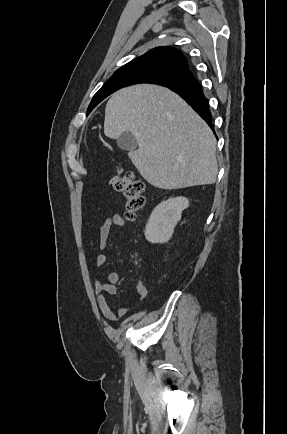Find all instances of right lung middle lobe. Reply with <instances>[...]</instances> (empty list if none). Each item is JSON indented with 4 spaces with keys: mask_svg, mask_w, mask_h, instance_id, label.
Masks as SVG:
<instances>
[{
    "mask_svg": "<svg viewBox=\"0 0 287 434\" xmlns=\"http://www.w3.org/2000/svg\"><path fill=\"white\" fill-rule=\"evenodd\" d=\"M179 76L165 70L154 68H141L126 72L114 73L113 76L101 87L94 95L89 107L87 115L96 107L103 99L115 91L138 83H153L157 84L162 81H175Z\"/></svg>",
    "mask_w": 287,
    "mask_h": 434,
    "instance_id": "right-lung-middle-lobe-1",
    "label": "right lung middle lobe"
}]
</instances>
